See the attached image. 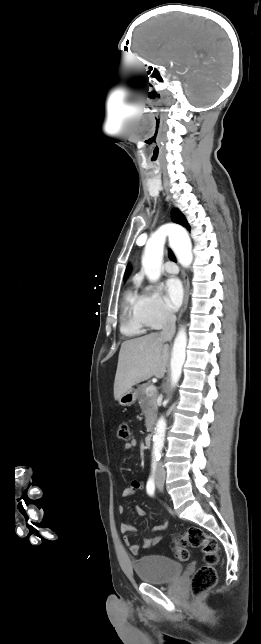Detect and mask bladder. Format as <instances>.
<instances>
[{
	"label": "bladder",
	"mask_w": 261,
	"mask_h": 644,
	"mask_svg": "<svg viewBox=\"0 0 261 644\" xmlns=\"http://www.w3.org/2000/svg\"><path fill=\"white\" fill-rule=\"evenodd\" d=\"M137 577L150 584H163L178 578L183 566L180 562L161 555H146L133 562Z\"/></svg>",
	"instance_id": "bladder-1"
}]
</instances>
